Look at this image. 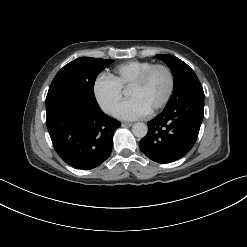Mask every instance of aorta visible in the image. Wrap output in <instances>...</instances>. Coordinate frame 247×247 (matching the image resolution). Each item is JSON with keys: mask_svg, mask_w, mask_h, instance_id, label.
<instances>
[{"mask_svg": "<svg viewBox=\"0 0 247 247\" xmlns=\"http://www.w3.org/2000/svg\"><path fill=\"white\" fill-rule=\"evenodd\" d=\"M147 131H148L147 125L145 123H142V122H137L132 127V132H133L134 136H136L138 138L145 137L147 134Z\"/></svg>", "mask_w": 247, "mask_h": 247, "instance_id": "762f6f07", "label": "aorta"}]
</instances>
